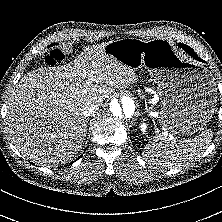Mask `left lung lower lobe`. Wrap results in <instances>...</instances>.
Returning <instances> with one entry per match:
<instances>
[{
	"label": "left lung lower lobe",
	"instance_id": "obj_1",
	"mask_svg": "<svg viewBox=\"0 0 222 222\" xmlns=\"http://www.w3.org/2000/svg\"><path fill=\"white\" fill-rule=\"evenodd\" d=\"M186 51V50H185ZM187 53H189L193 58H195L198 61H203L202 59H200L197 54L194 51H186Z\"/></svg>",
	"mask_w": 222,
	"mask_h": 222
}]
</instances>
